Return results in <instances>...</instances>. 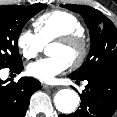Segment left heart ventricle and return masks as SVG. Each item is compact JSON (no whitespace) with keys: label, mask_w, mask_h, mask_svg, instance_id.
<instances>
[{"label":"left heart ventricle","mask_w":117,"mask_h":117,"mask_svg":"<svg viewBox=\"0 0 117 117\" xmlns=\"http://www.w3.org/2000/svg\"><path fill=\"white\" fill-rule=\"evenodd\" d=\"M48 53L51 56H63L65 57L69 62L72 61V59L76 55V51L73 49L66 48L60 44L53 43L50 45L48 49Z\"/></svg>","instance_id":"1"}]
</instances>
